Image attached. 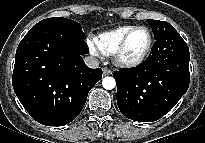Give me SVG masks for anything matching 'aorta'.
Segmentation results:
<instances>
[{
  "label": "aorta",
  "instance_id": "762f6f07",
  "mask_svg": "<svg viewBox=\"0 0 205 143\" xmlns=\"http://www.w3.org/2000/svg\"><path fill=\"white\" fill-rule=\"evenodd\" d=\"M102 85L106 90H112L116 86V81L113 77H105L102 80Z\"/></svg>",
  "mask_w": 205,
  "mask_h": 143
}]
</instances>
